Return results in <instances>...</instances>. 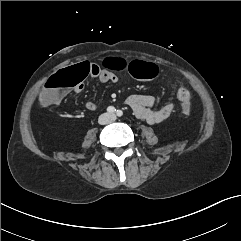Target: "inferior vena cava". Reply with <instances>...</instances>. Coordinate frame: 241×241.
<instances>
[{"label": "inferior vena cava", "mask_w": 241, "mask_h": 241, "mask_svg": "<svg viewBox=\"0 0 241 241\" xmlns=\"http://www.w3.org/2000/svg\"><path fill=\"white\" fill-rule=\"evenodd\" d=\"M114 120H115V116L110 113H104L99 118V122L101 124H108V123L113 122Z\"/></svg>", "instance_id": "602c4592"}]
</instances>
